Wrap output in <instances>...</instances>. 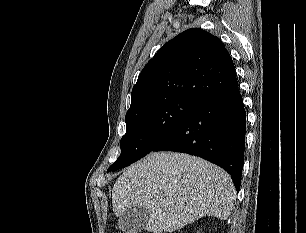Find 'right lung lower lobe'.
I'll return each instance as SVG.
<instances>
[{
    "instance_id": "1",
    "label": "right lung lower lobe",
    "mask_w": 306,
    "mask_h": 233,
    "mask_svg": "<svg viewBox=\"0 0 306 233\" xmlns=\"http://www.w3.org/2000/svg\"><path fill=\"white\" fill-rule=\"evenodd\" d=\"M245 131L246 112L237 84L201 104L153 151L202 157L226 170L239 191Z\"/></svg>"
}]
</instances>
